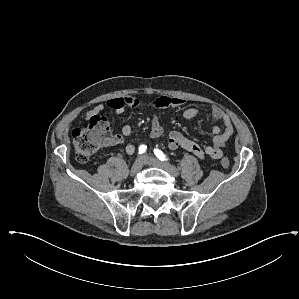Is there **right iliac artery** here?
<instances>
[{"mask_svg":"<svg viewBox=\"0 0 299 299\" xmlns=\"http://www.w3.org/2000/svg\"><path fill=\"white\" fill-rule=\"evenodd\" d=\"M146 149H147V146H146V145H141V146L139 147V154H143V153H145Z\"/></svg>","mask_w":299,"mask_h":299,"instance_id":"right-iliac-artery-1","label":"right iliac artery"}]
</instances>
